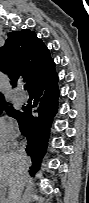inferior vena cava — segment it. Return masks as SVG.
Segmentation results:
<instances>
[{"mask_svg":"<svg viewBox=\"0 0 89 203\" xmlns=\"http://www.w3.org/2000/svg\"><path fill=\"white\" fill-rule=\"evenodd\" d=\"M26 144L24 143L20 149L18 150V154L17 156L21 159V160H26L27 159V155H26ZM22 173V179L21 181L18 183V187L16 190V195L14 197V203H21L20 197H21V193H22V189L24 187V183H25V176L27 174V170L26 167H23L21 170Z\"/></svg>","mask_w":89,"mask_h":203,"instance_id":"602c4592","label":"inferior vena cava"}]
</instances>
